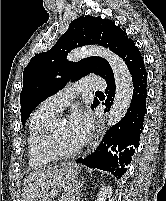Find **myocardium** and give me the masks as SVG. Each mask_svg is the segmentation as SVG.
I'll list each match as a JSON object with an SVG mask.
<instances>
[{
  "label": "myocardium",
  "mask_w": 166,
  "mask_h": 201,
  "mask_svg": "<svg viewBox=\"0 0 166 201\" xmlns=\"http://www.w3.org/2000/svg\"><path fill=\"white\" fill-rule=\"evenodd\" d=\"M64 120L62 116H54L42 129L39 146L40 149L54 159H68L76 156L82 149V145L71 151L60 150L55 142V130L57 125Z\"/></svg>",
  "instance_id": "f54148a6"
}]
</instances>
